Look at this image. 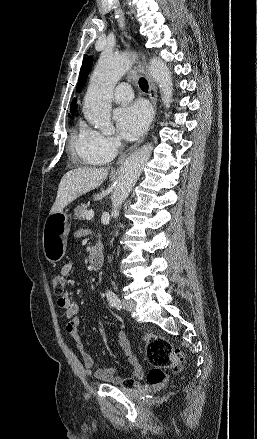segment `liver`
Instances as JSON below:
<instances>
[{
    "label": "liver",
    "mask_w": 257,
    "mask_h": 439,
    "mask_svg": "<svg viewBox=\"0 0 257 439\" xmlns=\"http://www.w3.org/2000/svg\"><path fill=\"white\" fill-rule=\"evenodd\" d=\"M107 175V168L81 167L68 171L60 181L50 214L63 211L75 199L100 186Z\"/></svg>",
    "instance_id": "6515ba94"
}]
</instances>
